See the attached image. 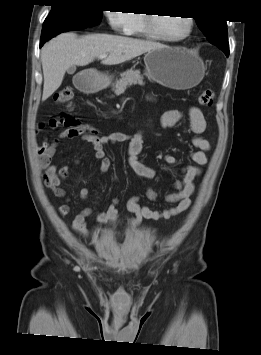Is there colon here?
I'll list each match as a JSON object with an SVG mask.
<instances>
[{"instance_id": "colon-1", "label": "colon", "mask_w": 261, "mask_h": 355, "mask_svg": "<svg viewBox=\"0 0 261 355\" xmlns=\"http://www.w3.org/2000/svg\"><path fill=\"white\" fill-rule=\"evenodd\" d=\"M215 93L212 89L204 90L198 97V103L201 106H212ZM54 100L59 104H71L73 101V92L70 87H64L54 94ZM62 120V119H60ZM58 123V119L52 121V126Z\"/></svg>"}]
</instances>
